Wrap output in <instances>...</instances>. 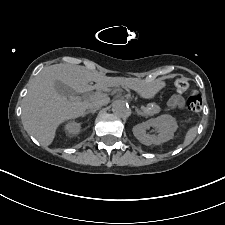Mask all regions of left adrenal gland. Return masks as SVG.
<instances>
[{
    "label": "left adrenal gland",
    "instance_id": "left-adrenal-gland-1",
    "mask_svg": "<svg viewBox=\"0 0 225 225\" xmlns=\"http://www.w3.org/2000/svg\"><path fill=\"white\" fill-rule=\"evenodd\" d=\"M136 111H137V114H138V115L145 116V114L142 113L139 109H136Z\"/></svg>",
    "mask_w": 225,
    "mask_h": 225
}]
</instances>
